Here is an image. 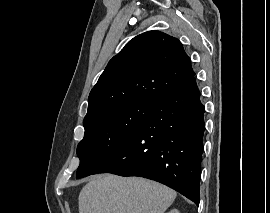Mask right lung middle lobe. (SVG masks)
Wrapping results in <instances>:
<instances>
[{"label": "right lung middle lobe", "mask_w": 270, "mask_h": 213, "mask_svg": "<svg viewBox=\"0 0 270 213\" xmlns=\"http://www.w3.org/2000/svg\"><path fill=\"white\" fill-rule=\"evenodd\" d=\"M155 105L135 100L84 121V138L77 147L80 165L76 178L94 174L133 136Z\"/></svg>", "instance_id": "right-lung-middle-lobe-1"}]
</instances>
